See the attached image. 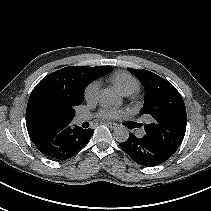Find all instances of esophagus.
<instances>
[{"label":"esophagus","instance_id":"esophagus-1","mask_svg":"<svg viewBox=\"0 0 211 211\" xmlns=\"http://www.w3.org/2000/svg\"><path fill=\"white\" fill-rule=\"evenodd\" d=\"M104 125L108 126L110 129H115L117 128V124L113 123V122H104Z\"/></svg>","mask_w":211,"mask_h":211}]
</instances>
